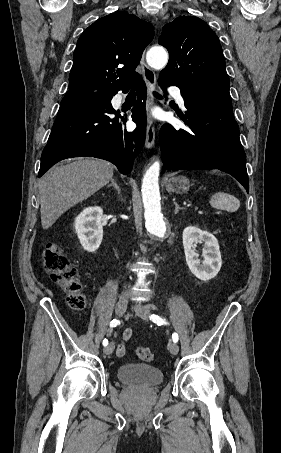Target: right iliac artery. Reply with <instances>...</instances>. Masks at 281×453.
<instances>
[{
	"mask_svg": "<svg viewBox=\"0 0 281 453\" xmlns=\"http://www.w3.org/2000/svg\"><path fill=\"white\" fill-rule=\"evenodd\" d=\"M118 324V321L116 319H113L111 322H110V327H116V325ZM103 345L104 346H107L108 345V340L105 338L103 340Z\"/></svg>",
	"mask_w": 281,
	"mask_h": 453,
	"instance_id": "right-iliac-artery-1",
	"label": "right iliac artery"
}]
</instances>
